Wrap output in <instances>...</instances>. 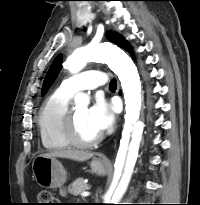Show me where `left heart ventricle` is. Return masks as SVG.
<instances>
[{
  "label": "left heart ventricle",
  "mask_w": 200,
  "mask_h": 205,
  "mask_svg": "<svg viewBox=\"0 0 200 205\" xmlns=\"http://www.w3.org/2000/svg\"><path fill=\"white\" fill-rule=\"evenodd\" d=\"M76 121L78 136L83 140H91L96 138L100 133L93 127L89 120L88 108L85 106L73 109Z\"/></svg>",
  "instance_id": "obj_1"
}]
</instances>
